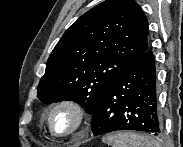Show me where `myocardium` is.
<instances>
[{"label":"myocardium","instance_id":"f54148a6","mask_svg":"<svg viewBox=\"0 0 183 147\" xmlns=\"http://www.w3.org/2000/svg\"><path fill=\"white\" fill-rule=\"evenodd\" d=\"M61 108H67V109L71 110L77 118V124L74 127V129L65 134L56 133L52 127V122H51L52 115L54 114V112H56L57 110H59ZM86 124H87V111H86L85 107L80 102L73 100V99H63V100L58 101L49 109V111L47 113L48 129H49L50 133L56 138L72 137V136L76 135L77 133H79L86 126Z\"/></svg>","mask_w":183,"mask_h":147}]
</instances>
